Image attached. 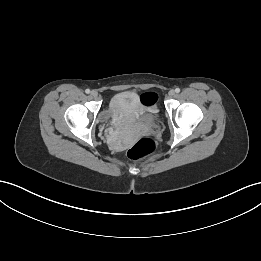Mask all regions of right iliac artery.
Instances as JSON below:
<instances>
[{
	"label": "right iliac artery",
	"instance_id": "1",
	"mask_svg": "<svg viewBox=\"0 0 261 261\" xmlns=\"http://www.w3.org/2000/svg\"><path fill=\"white\" fill-rule=\"evenodd\" d=\"M85 92H86L87 94H89V93H90V90H89V89H86Z\"/></svg>",
	"mask_w": 261,
	"mask_h": 261
}]
</instances>
